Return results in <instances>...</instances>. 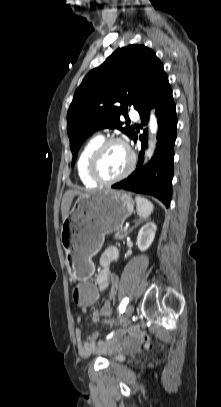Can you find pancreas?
I'll return each instance as SVG.
<instances>
[{"label":"pancreas","instance_id":"cf45deb5","mask_svg":"<svg viewBox=\"0 0 221 407\" xmlns=\"http://www.w3.org/2000/svg\"><path fill=\"white\" fill-rule=\"evenodd\" d=\"M126 235H127V230L122 229V230H119V231H117V232L115 233L114 238H115L116 240H122V239H124V237H125Z\"/></svg>","mask_w":221,"mask_h":407}]
</instances>
